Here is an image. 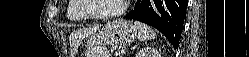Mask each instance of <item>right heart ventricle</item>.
Here are the masks:
<instances>
[{"mask_svg":"<svg viewBox=\"0 0 249 57\" xmlns=\"http://www.w3.org/2000/svg\"><path fill=\"white\" fill-rule=\"evenodd\" d=\"M77 5H78L77 0L69 1L66 16L71 21H80L85 19V17L79 12Z\"/></svg>","mask_w":249,"mask_h":57,"instance_id":"1","label":"right heart ventricle"}]
</instances>
